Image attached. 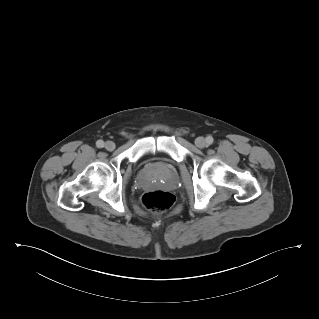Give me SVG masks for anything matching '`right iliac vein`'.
I'll use <instances>...</instances> for the list:
<instances>
[{
    "mask_svg": "<svg viewBox=\"0 0 319 319\" xmlns=\"http://www.w3.org/2000/svg\"><path fill=\"white\" fill-rule=\"evenodd\" d=\"M105 148L108 150V151H113L115 149V143L112 142V141H107L105 143Z\"/></svg>",
    "mask_w": 319,
    "mask_h": 319,
    "instance_id": "63e3f726",
    "label": "right iliac vein"
}]
</instances>
